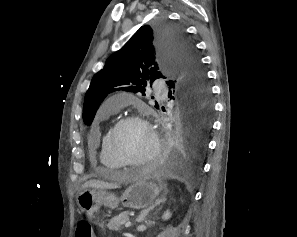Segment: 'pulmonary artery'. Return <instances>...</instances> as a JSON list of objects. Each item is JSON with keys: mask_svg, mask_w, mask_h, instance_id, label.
<instances>
[{"mask_svg": "<svg viewBox=\"0 0 297 237\" xmlns=\"http://www.w3.org/2000/svg\"><path fill=\"white\" fill-rule=\"evenodd\" d=\"M155 88L158 91H163L165 89V84L163 82H158L155 84ZM127 98L123 94H116L104 103V109L108 111H115L124 105H126Z\"/></svg>", "mask_w": 297, "mask_h": 237, "instance_id": "1", "label": "pulmonary artery"}]
</instances>
